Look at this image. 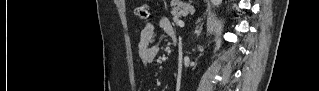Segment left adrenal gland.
Listing matches in <instances>:
<instances>
[{
	"instance_id": "1",
	"label": "left adrenal gland",
	"mask_w": 319,
	"mask_h": 91,
	"mask_svg": "<svg viewBox=\"0 0 319 91\" xmlns=\"http://www.w3.org/2000/svg\"><path fill=\"white\" fill-rule=\"evenodd\" d=\"M202 28H200L199 30H197V36H199V34L201 33Z\"/></svg>"
}]
</instances>
